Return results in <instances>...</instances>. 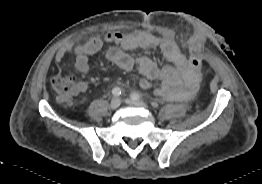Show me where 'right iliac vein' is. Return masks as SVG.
<instances>
[{
	"instance_id": "right-iliac-vein-1",
	"label": "right iliac vein",
	"mask_w": 262,
	"mask_h": 184,
	"mask_svg": "<svg viewBox=\"0 0 262 184\" xmlns=\"http://www.w3.org/2000/svg\"><path fill=\"white\" fill-rule=\"evenodd\" d=\"M120 103V99L118 97H114L110 102L111 109H117L120 106Z\"/></svg>"
}]
</instances>
